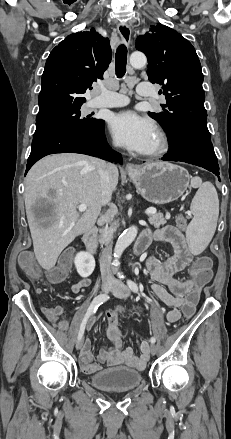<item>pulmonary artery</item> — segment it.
<instances>
[{"instance_id": "pulmonary-artery-1", "label": "pulmonary artery", "mask_w": 231, "mask_h": 439, "mask_svg": "<svg viewBox=\"0 0 231 439\" xmlns=\"http://www.w3.org/2000/svg\"><path fill=\"white\" fill-rule=\"evenodd\" d=\"M137 93L142 96H150L153 94L152 86L149 83H140L137 86ZM129 103L127 96L114 92L110 89H102L101 95L91 102L94 108L100 107H122Z\"/></svg>"}]
</instances>
